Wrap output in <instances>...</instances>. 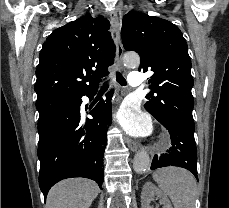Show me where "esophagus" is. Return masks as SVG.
Segmentation results:
<instances>
[{
  "label": "esophagus",
  "instance_id": "1",
  "mask_svg": "<svg viewBox=\"0 0 229 208\" xmlns=\"http://www.w3.org/2000/svg\"><path fill=\"white\" fill-rule=\"evenodd\" d=\"M110 21L111 25L114 28L116 32V46H117V52H116V61L118 66L123 70L124 69V63H123V44L120 37V23L118 20V15L115 11H112L110 13ZM125 143L127 144L128 148L131 151H136L138 148V144L133 141L131 138L126 137Z\"/></svg>",
  "mask_w": 229,
  "mask_h": 208
}]
</instances>
